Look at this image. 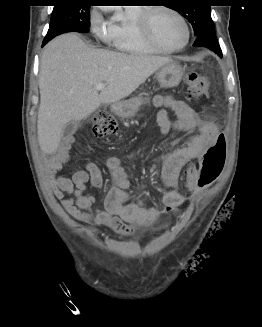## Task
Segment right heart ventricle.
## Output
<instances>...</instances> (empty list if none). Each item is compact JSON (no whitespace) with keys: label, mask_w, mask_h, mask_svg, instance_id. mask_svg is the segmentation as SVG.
Instances as JSON below:
<instances>
[{"label":"right heart ventricle","mask_w":262,"mask_h":327,"mask_svg":"<svg viewBox=\"0 0 262 327\" xmlns=\"http://www.w3.org/2000/svg\"><path fill=\"white\" fill-rule=\"evenodd\" d=\"M139 7H127L124 17L111 24L112 43L120 51L138 54H158L161 51L152 47L138 30L136 20L141 12Z\"/></svg>","instance_id":"e07e8e85"}]
</instances>
